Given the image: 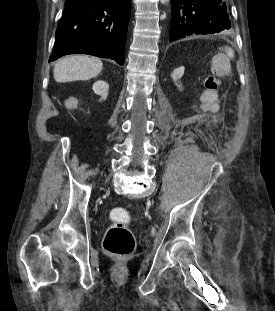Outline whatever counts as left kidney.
Here are the masks:
<instances>
[{
	"label": "left kidney",
	"instance_id": "left-kidney-1",
	"mask_svg": "<svg viewBox=\"0 0 275 311\" xmlns=\"http://www.w3.org/2000/svg\"><path fill=\"white\" fill-rule=\"evenodd\" d=\"M183 74H184V68L183 67H179V68L174 69L173 73L171 74L172 79L176 83L175 87L177 89H180L182 87L181 83L183 82V79L181 77L183 76Z\"/></svg>",
	"mask_w": 275,
	"mask_h": 311
}]
</instances>
